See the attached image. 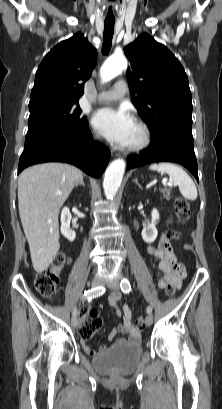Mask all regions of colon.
I'll use <instances>...</instances> for the list:
<instances>
[{
    "instance_id": "5ec220e1",
    "label": "colon",
    "mask_w": 222,
    "mask_h": 409,
    "mask_svg": "<svg viewBox=\"0 0 222 409\" xmlns=\"http://www.w3.org/2000/svg\"><path fill=\"white\" fill-rule=\"evenodd\" d=\"M174 213L175 220L179 223H185L190 218V204L187 200L177 198L174 203ZM170 237H175V232L171 231L169 233ZM67 257L64 253H58L50 267L39 272L34 280L35 288L39 294L43 297L51 298L54 296L59 280L60 272L64 265L66 264ZM176 288L173 285H168L166 289L167 296H173ZM82 314V324L79 329L80 336L82 339L88 340L92 338L95 333L100 329L102 325V320L99 316L98 311L92 307H86L81 311ZM136 325L139 331L144 328V318L140 316Z\"/></svg>"
}]
</instances>
